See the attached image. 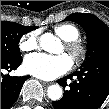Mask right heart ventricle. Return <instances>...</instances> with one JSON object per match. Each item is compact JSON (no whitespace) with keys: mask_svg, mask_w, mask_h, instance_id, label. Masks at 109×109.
Segmentation results:
<instances>
[{"mask_svg":"<svg viewBox=\"0 0 109 109\" xmlns=\"http://www.w3.org/2000/svg\"><path fill=\"white\" fill-rule=\"evenodd\" d=\"M54 32L64 41L69 42L79 38V29L70 23H62L54 26Z\"/></svg>","mask_w":109,"mask_h":109,"instance_id":"right-heart-ventricle-1","label":"right heart ventricle"}]
</instances>
